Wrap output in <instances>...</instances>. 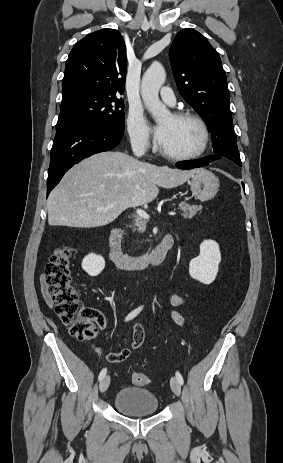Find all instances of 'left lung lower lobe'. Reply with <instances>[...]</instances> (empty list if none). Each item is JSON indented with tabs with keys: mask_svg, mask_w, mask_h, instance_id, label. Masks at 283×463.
<instances>
[{
	"mask_svg": "<svg viewBox=\"0 0 283 463\" xmlns=\"http://www.w3.org/2000/svg\"><path fill=\"white\" fill-rule=\"evenodd\" d=\"M219 158H223V157L215 154V155H211V156H208L202 159H198L196 161L179 162L177 163V167L181 169L198 168V167L208 165L210 162L217 160ZM242 185L244 186L243 182H242Z\"/></svg>",
	"mask_w": 283,
	"mask_h": 463,
	"instance_id": "obj_1",
	"label": "left lung lower lobe"
}]
</instances>
